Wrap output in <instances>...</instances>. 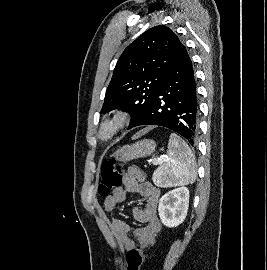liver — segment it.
Returning <instances> with one entry per match:
<instances>
[{
  "mask_svg": "<svg viewBox=\"0 0 267 270\" xmlns=\"http://www.w3.org/2000/svg\"><path fill=\"white\" fill-rule=\"evenodd\" d=\"M147 132V129L145 130H142L141 132L137 133L134 138H138L139 136H141L142 134L146 133Z\"/></svg>",
  "mask_w": 267,
  "mask_h": 270,
  "instance_id": "liver-1",
  "label": "liver"
}]
</instances>
